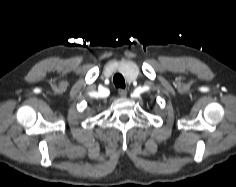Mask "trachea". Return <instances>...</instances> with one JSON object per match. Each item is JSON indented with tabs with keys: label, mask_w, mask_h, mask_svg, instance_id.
I'll use <instances>...</instances> for the list:
<instances>
[{
	"label": "trachea",
	"mask_w": 236,
	"mask_h": 187,
	"mask_svg": "<svg viewBox=\"0 0 236 187\" xmlns=\"http://www.w3.org/2000/svg\"><path fill=\"white\" fill-rule=\"evenodd\" d=\"M113 82L116 87L125 88V80L121 74H115L113 77Z\"/></svg>",
	"instance_id": "obj_1"
}]
</instances>
